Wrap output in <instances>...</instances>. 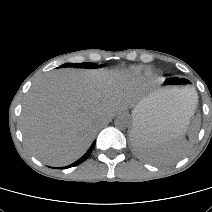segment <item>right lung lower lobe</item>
Listing matches in <instances>:
<instances>
[{"label":"right lung lower lobe","mask_w":212,"mask_h":212,"mask_svg":"<svg viewBox=\"0 0 212 212\" xmlns=\"http://www.w3.org/2000/svg\"><path fill=\"white\" fill-rule=\"evenodd\" d=\"M94 145H95V141L93 142V144L91 145L89 150L78 161L74 162L73 164H71V165H69V166H67L65 168L76 166V165L82 163L83 161H85L89 157V155L91 154V152H92V150L94 148Z\"/></svg>","instance_id":"1"}]
</instances>
